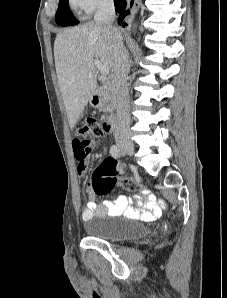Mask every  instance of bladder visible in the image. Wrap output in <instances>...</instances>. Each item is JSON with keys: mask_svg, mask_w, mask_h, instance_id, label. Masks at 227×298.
I'll return each mask as SVG.
<instances>
[{"mask_svg": "<svg viewBox=\"0 0 227 298\" xmlns=\"http://www.w3.org/2000/svg\"><path fill=\"white\" fill-rule=\"evenodd\" d=\"M84 229L88 236L108 242L136 240L149 235V229L140 222L101 216L87 221Z\"/></svg>", "mask_w": 227, "mask_h": 298, "instance_id": "obj_1", "label": "bladder"}]
</instances>
